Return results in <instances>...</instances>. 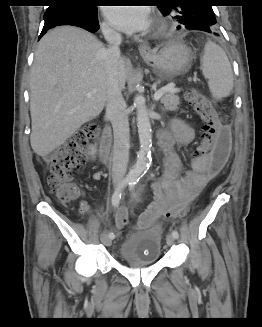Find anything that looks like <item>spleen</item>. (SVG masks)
<instances>
[{"mask_svg": "<svg viewBox=\"0 0 262 327\" xmlns=\"http://www.w3.org/2000/svg\"><path fill=\"white\" fill-rule=\"evenodd\" d=\"M201 68L213 97L221 99L230 95L233 89L231 65L224 50L212 41L205 44Z\"/></svg>", "mask_w": 262, "mask_h": 327, "instance_id": "3e777b00", "label": "spleen"}]
</instances>
